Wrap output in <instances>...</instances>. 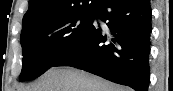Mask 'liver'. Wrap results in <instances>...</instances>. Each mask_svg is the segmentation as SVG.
<instances>
[{
  "label": "liver",
  "instance_id": "obj_1",
  "mask_svg": "<svg viewBox=\"0 0 173 91\" xmlns=\"http://www.w3.org/2000/svg\"><path fill=\"white\" fill-rule=\"evenodd\" d=\"M21 91H131L73 67H53Z\"/></svg>",
  "mask_w": 173,
  "mask_h": 91
}]
</instances>
